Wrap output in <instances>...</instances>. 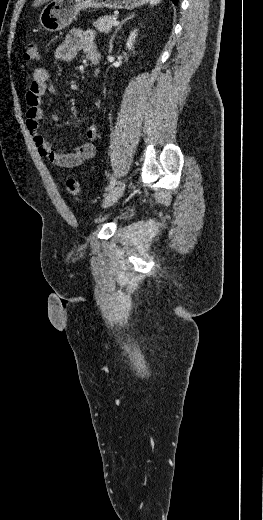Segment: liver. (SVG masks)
Listing matches in <instances>:
<instances>
[{"instance_id":"1","label":"liver","mask_w":263,"mask_h":520,"mask_svg":"<svg viewBox=\"0 0 263 520\" xmlns=\"http://www.w3.org/2000/svg\"><path fill=\"white\" fill-rule=\"evenodd\" d=\"M49 0H34L33 2V7H38L46 2H48Z\"/></svg>"}]
</instances>
